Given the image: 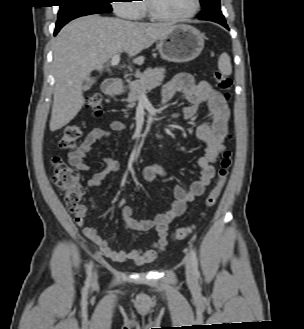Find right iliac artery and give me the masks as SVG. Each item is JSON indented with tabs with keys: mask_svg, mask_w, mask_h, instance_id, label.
<instances>
[{
	"mask_svg": "<svg viewBox=\"0 0 304 329\" xmlns=\"http://www.w3.org/2000/svg\"><path fill=\"white\" fill-rule=\"evenodd\" d=\"M92 266H93V263L90 262L89 265H88V267H87V275H88V278H90V276H91Z\"/></svg>",
	"mask_w": 304,
	"mask_h": 329,
	"instance_id": "1",
	"label": "right iliac artery"
}]
</instances>
